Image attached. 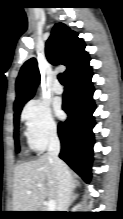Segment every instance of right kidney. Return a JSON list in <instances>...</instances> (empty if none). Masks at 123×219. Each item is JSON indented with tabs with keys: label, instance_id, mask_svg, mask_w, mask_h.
<instances>
[{
	"label": "right kidney",
	"instance_id": "1",
	"mask_svg": "<svg viewBox=\"0 0 123 219\" xmlns=\"http://www.w3.org/2000/svg\"><path fill=\"white\" fill-rule=\"evenodd\" d=\"M77 208H78V206H75V207L73 208V211H76Z\"/></svg>",
	"mask_w": 123,
	"mask_h": 219
}]
</instances>
